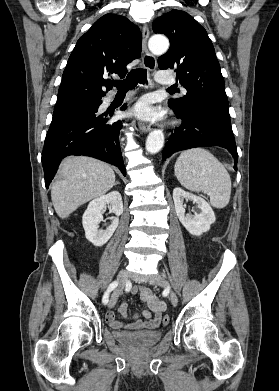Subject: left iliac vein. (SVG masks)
<instances>
[{
    "instance_id": "4c4485c4",
    "label": "left iliac vein",
    "mask_w": 279,
    "mask_h": 391,
    "mask_svg": "<svg viewBox=\"0 0 279 391\" xmlns=\"http://www.w3.org/2000/svg\"><path fill=\"white\" fill-rule=\"evenodd\" d=\"M150 283L153 285L161 286V287H167L168 282L166 281L165 278L162 276H156L155 278L150 280ZM169 300L172 303V305L175 307L178 304V297L176 293L173 290H170L169 292Z\"/></svg>"
}]
</instances>
